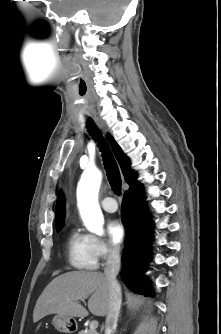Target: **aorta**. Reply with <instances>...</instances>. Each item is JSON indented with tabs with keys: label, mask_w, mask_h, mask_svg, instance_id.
<instances>
[{
	"label": "aorta",
	"mask_w": 221,
	"mask_h": 334,
	"mask_svg": "<svg viewBox=\"0 0 221 334\" xmlns=\"http://www.w3.org/2000/svg\"><path fill=\"white\" fill-rule=\"evenodd\" d=\"M102 173L97 169L83 172L77 186V206L87 230L98 236L104 234V217L98 203Z\"/></svg>",
	"instance_id": "aorta-1"
}]
</instances>
